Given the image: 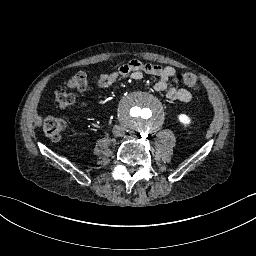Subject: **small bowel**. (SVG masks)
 <instances>
[{"instance_id":"c3829d8e","label":"small bowel","mask_w":256,"mask_h":256,"mask_svg":"<svg viewBox=\"0 0 256 256\" xmlns=\"http://www.w3.org/2000/svg\"><path fill=\"white\" fill-rule=\"evenodd\" d=\"M176 72L172 66L145 64L139 60H131L116 70L100 73L97 84L101 88H109L123 77L131 76L134 79H140L143 74H149L158 77V81L154 85L156 91L165 92L169 100L188 102L191 100V93L187 89L182 87L167 88L168 81L175 80Z\"/></svg>"}]
</instances>
